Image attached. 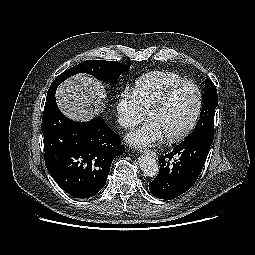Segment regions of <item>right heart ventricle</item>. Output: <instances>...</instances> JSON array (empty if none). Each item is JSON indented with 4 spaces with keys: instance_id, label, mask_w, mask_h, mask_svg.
<instances>
[{
    "instance_id": "e07e8e85",
    "label": "right heart ventricle",
    "mask_w": 255,
    "mask_h": 255,
    "mask_svg": "<svg viewBox=\"0 0 255 255\" xmlns=\"http://www.w3.org/2000/svg\"><path fill=\"white\" fill-rule=\"evenodd\" d=\"M183 81V77L172 72H152L136 80L133 93L147 113L170 88Z\"/></svg>"
}]
</instances>
